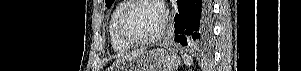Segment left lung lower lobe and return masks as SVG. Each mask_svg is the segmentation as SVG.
Segmentation results:
<instances>
[{
    "label": "left lung lower lobe",
    "instance_id": "0a47b994",
    "mask_svg": "<svg viewBox=\"0 0 301 71\" xmlns=\"http://www.w3.org/2000/svg\"><path fill=\"white\" fill-rule=\"evenodd\" d=\"M175 42L183 46H206L212 36L210 0H177Z\"/></svg>",
    "mask_w": 301,
    "mask_h": 71
}]
</instances>
